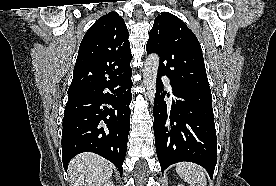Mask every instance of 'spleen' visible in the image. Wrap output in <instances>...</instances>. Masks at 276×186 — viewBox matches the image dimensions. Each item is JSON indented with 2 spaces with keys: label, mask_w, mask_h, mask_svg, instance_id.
Here are the masks:
<instances>
[{
  "label": "spleen",
  "mask_w": 276,
  "mask_h": 186,
  "mask_svg": "<svg viewBox=\"0 0 276 186\" xmlns=\"http://www.w3.org/2000/svg\"><path fill=\"white\" fill-rule=\"evenodd\" d=\"M178 175L190 186H206V176L203 169L190 162H182L176 165Z\"/></svg>",
  "instance_id": "spleen-1"
}]
</instances>
